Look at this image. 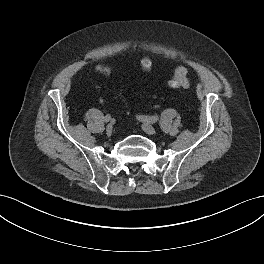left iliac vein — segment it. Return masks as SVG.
Returning a JSON list of instances; mask_svg holds the SVG:
<instances>
[{
    "mask_svg": "<svg viewBox=\"0 0 264 264\" xmlns=\"http://www.w3.org/2000/svg\"><path fill=\"white\" fill-rule=\"evenodd\" d=\"M142 129H143L144 132H146L149 135H153L156 132L155 128L153 126H151L150 124H148V123H143L142 124Z\"/></svg>",
    "mask_w": 264,
    "mask_h": 264,
    "instance_id": "1",
    "label": "left iliac vein"
}]
</instances>
